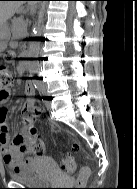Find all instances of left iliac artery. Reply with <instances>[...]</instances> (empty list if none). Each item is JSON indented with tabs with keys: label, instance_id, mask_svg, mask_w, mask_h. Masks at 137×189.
<instances>
[{
	"label": "left iliac artery",
	"instance_id": "44dca946",
	"mask_svg": "<svg viewBox=\"0 0 137 189\" xmlns=\"http://www.w3.org/2000/svg\"><path fill=\"white\" fill-rule=\"evenodd\" d=\"M39 92H40V95H41V96H46V91H45V89L41 88V89H39Z\"/></svg>",
	"mask_w": 137,
	"mask_h": 189
}]
</instances>
